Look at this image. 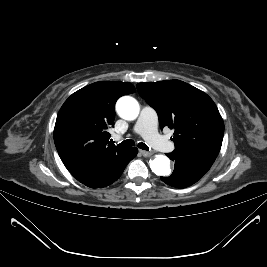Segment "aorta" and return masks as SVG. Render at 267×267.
Masks as SVG:
<instances>
[{"mask_svg": "<svg viewBox=\"0 0 267 267\" xmlns=\"http://www.w3.org/2000/svg\"><path fill=\"white\" fill-rule=\"evenodd\" d=\"M118 115L128 121L135 120L140 113L138 101L131 96H123L116 103ZM151 170L158 176H167L170 174V160L164 155H156L150 160Z\"/></svg>", "mask_w": 267, "mask_h": 267, "instance_id": "aorta-1", "label": "aorta"}]
</instances>
